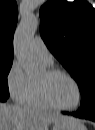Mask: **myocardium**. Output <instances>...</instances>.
Wrapping results in <instances>:
<instances>
[{
  "label": "myocardium",
  "instance_id": "1",
  "mask_svg": "<svg viewBox=\"0 0 95 130\" xmlns=\"http://www.w3.org/2000/svg\"><path fill=\"white\" fill-rule=\"evenodd\" d=\"M46 73H47V75L49 77H54L56 75H64L67 78H69L74 83V85L77 88V91H78V101H77L76 105H74L72 107H63V106H60V105L56 104L51 99V97L48 94L46 86L43 83L37 82L39 93H40V96L43 99V101L46 104H48L51 108L62 110V111H74L77 108H79V106L81 105L82 100H83V92H82V88H81L79 82L70 73H68L67 71L62 70V69L52 68V69H48L46 71Z\"/></svg>",
  "mask_w": 95,
  "mask_h": 130
}]
</instances>
